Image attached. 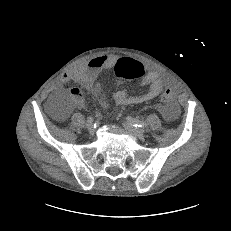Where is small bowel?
Returning a JSON list of instances; mask_svg holds the SVG:
<instances>
[{
	"label": "small bowel",
	"mask_w": 231,
	"mask_h": 231,
	"mask_svg": "<svg viewBox=\"0 0 231 231\" xmlns=\"http://www.w3.org/2000/svg\"><path fill=\"white\" fill-rule=\"evenodd\" d=\"M117 61L118 58L114 55L94 57L86 64L65 72L55 85V88L57 89L62 84L68 82H76L86 90H90L98 95V91L94 88L95 80L102 71L111 69ZM140 83L142 86L147 87V90L144 93L140 95H132L125 91H117L113 94L114 102L123 106L142 104L156 98L166 87H168V82L163 79L160 73L151 68L145 69V74L141 77ZM70 94L78 106H85L83 95L78 88H72ZM99 101L101 105L105 104L102 98H100ZM161 113L165 119L172 121L178 116V105L176 103L166 105L161 108Z\"/></svg>",
	"instance_id": "small-bowel-1"
}]
</instances>
